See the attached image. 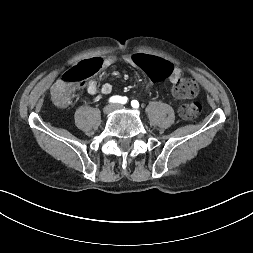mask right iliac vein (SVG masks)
Masks as SVG:
<instances>
[{"label": "right iliac vein", "mask_w": 253, "mask_h": 253, "mask_svg": "<svg viewBox=\"0 0 253 253\" xmlns=\"http://www.w3.org/2000/svg\"><path fill=\"white\" fill-rule=\"evenodd\" d=\"M115 109V105L109 104L104 107L103 112L104 114H110Z\"/></svg>", "instance_id": "1"}]
</instances>
